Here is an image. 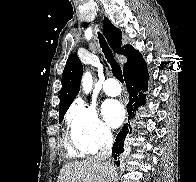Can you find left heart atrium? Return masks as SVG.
Returning a JSON list of instances; mask_svg holds the SVG:
<instances>
[{"instance_id": "obj_1", "label": "left heart atrium", "mask_w": 196, "mask_h": 182, "mask_svg": "<svg viewBox=\"0 0 196 182\" xmlns=\"http://www.w3.org/2000/svg\"><path fill=\"white\" fill-rule=\"evenodd\" d=\"M102 113L106 122L111 127H118L124 120L125 112L121 103L117 100H106L102 105Z\"/></svg>"}]
</instances>
